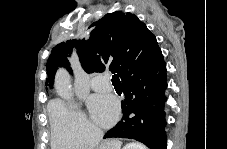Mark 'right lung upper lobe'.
Instances as JSON below:
<instances>
[{
	"label": "right lung upper lobe",
	"instance_id": "right-lung-upper-lobe-1",
	"mask_svg": "<svg viewBox=\"0 0 227 149\" xmlns=\"http://www.w3.org/2000/svg\"><path fill=\"white\" fill-rule=\"evenodd\" d=\"M92 26L96 28L89 40L62 42L52 49L46 65L50 86L58 67L64 66L72 72L67 56L72 53L73 46H77L80 62L87 73L103 72L109 66L121 80L162 57L156 37L134 14L116 11L106 14Z\"/></svg>",
	"mask_w": 227,
	"mask_h": 149
}]
</instances>
